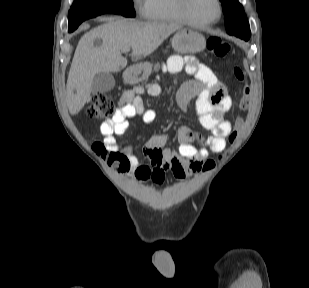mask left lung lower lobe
Here are the masks:
<instances>
[{"mask_svg": "<svg viewBox=\"0 0 309 288\" xmlns=\"http://www.w3.org/2000/svg\"><path fill=\"white\" fill-rule=\"evenodd\" d=\"M228 34L235 35V36H237V37H239L241 39H244L246 41L249 40L250 35H251L250 32H248V33H228Z\"/></svg>", "mask_w": 309, "mask_h": 288, "instance_id": "obj_1", "label": "left lung lower lobe"}]
</instances>
